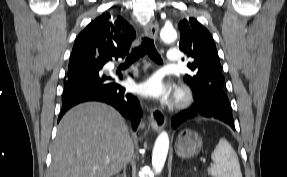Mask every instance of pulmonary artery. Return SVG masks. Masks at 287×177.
Listing matches in <instances>:
<instances>
[{
	"label": "pulmonary artery",
	"instance_id": "1",
	"mask_svg": "<svg viewBox=\"0 0 287 177\" xmlns=\"http://www.w3.org/2000/svg\"><path fill=\"white\" fill-rule=\"evenodd\" d=\"M178 55H179V49L177 48L170 49L166 55V65L167 66L178 65L179 64Z\"/></svg>",
	"mask_w": 287,
	"mask_h": 177
}]
</instances>
